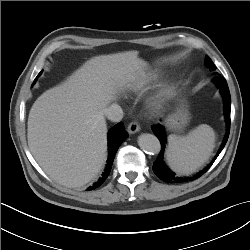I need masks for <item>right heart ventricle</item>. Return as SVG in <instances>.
Here are the masks:
<instances>
[{
  "label": "right heart ventricle",
  "instance_id": "1",
  "mask_svg": "<svg viewBox=\"0 0 250 250\" xmlns=\"http://www.w3.org/2000/svg\"><path fill=\"white\" fill-rule=\"evenodd\" d=\"M161 77L160 72L152 71L141 76L137 83L138 88H143L151 85Z\"/></svg>",
  "mask_w": 250,
  "mask_h": 250
}]
</instances>
